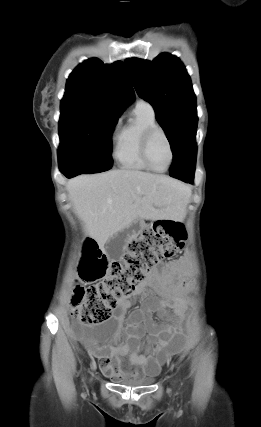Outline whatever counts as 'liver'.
I'll use <instances>...</instances> for the list:
<instances>
[{
    "instance_id": "1",
    "label": "liver",
    "mask_w": 261,
    "mask_h": 427,
    "mask_svg": "<svg viewBox=\"0 0 261 427\" xmlns=\"http://www.w3.org/2000/svg\"><path fill=\"white\" fill-rule=\"evenodd\" d=\"M66 188L86 233L102 250L136 220H183L191 196L190 188L178 180L125 169L80 175Z\"/></svg>"
}]
</instances>
